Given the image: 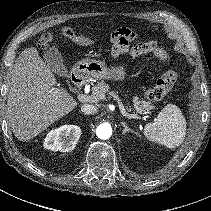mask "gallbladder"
I'll list each match as a JSON object with an SVG mask.
<instances>
[{
  "mask_svg": "<svg viewBox=\"0 0 211 211\" xmlns=\"http://www.w3.org/2000/svg\"><path fill=\"white\" fill-rule=\"evenodd\" d=\"M44 60L47 66L56 74H66L67 70L63 64V59L57 47L52 46L44 53Z\"/></svg>",
  "mask_w": 211,
  "mask_h": 211,
  "instance_id": "bac80fb5",
  "label": "gallbladder"
}]
</instances>
